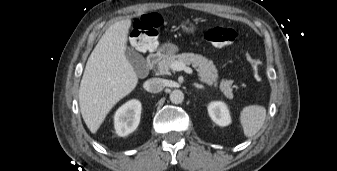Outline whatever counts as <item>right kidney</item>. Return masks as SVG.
Listing matches in <instances>:
<instances>
[{"mask_svg": "<svg viewBox=\"0 0 337 171\" xmlns=\"http://www.w3.org/2000/svg\"><path fill=\"white\" fill-rule=\"evenodd\" d=\"M141 109V103L138 100H130L116 111L114 128L117 135L127 136L138 127Z\"/></svg>", "mask_w": 337, "mask_h": 171, "instance_id": "ca27d5eb", "label": "right kidney"}]
</instances>
